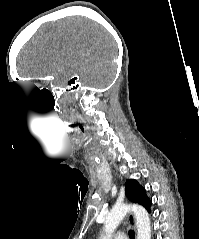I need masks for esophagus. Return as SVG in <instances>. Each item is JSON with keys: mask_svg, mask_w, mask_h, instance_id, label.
Here are the masks:
<instances>
[{"mask_svg": "<svg viewBox=\"0 0 199 239\" xmlns=\"http://www.w3.org/2000/svg\"><path fill=\"white\" fill-rule=\"evenodd\" d=\"M128 220H129V223L135 227V224H136V221H135V217L132 213H129L128 215Z\"/></svg>", "mask_w": 199, "mask_h": 239, "instance_id": "obj_1", "label": "esophagus"}]
</instances>
